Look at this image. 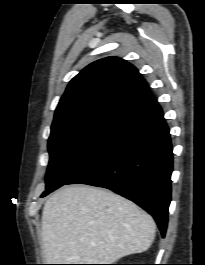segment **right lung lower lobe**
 I'll return each mask as SVG.
<instances>
[{
  "instance_id": "1",
  "label": "right lung lower lobe",
  "mask_w": 205,
  "mask_h": 265,
  "mask_svg": "<svg viewBox=\"0 0 205 265\" xmlns=\"http://www.w3.org/2000/svg\"><path fill=\"white\" fill-rule=\"evenodd\" d=\"M173 153L162 108L154 104L128 122L66 184L110 189L150 213L165 236L171 201Z\"/></svg>"
}]
</instances>
